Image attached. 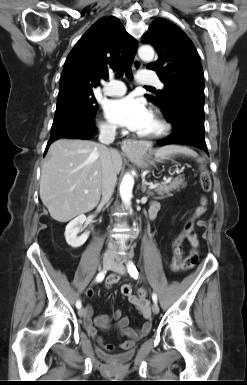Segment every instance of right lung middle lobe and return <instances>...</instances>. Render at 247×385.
Masks as SVG:
<instances>
[{
    "label": "right lung middle lobe",
    "mask_w": 247,
    "mask_h": 385,
    "mask_svg": "<svg viewBox=\"0 0 247 385\" xmlns=\"http://www.w3.org/2000/svg\"><path fill=\"white\" fill-rule=\"evenodd\" d=\"M98 108L92 90H68L59 92L53 125L66 120L82 117L91 119Z\"/></svg>",
    "instance_id": "1"
}]
</instances>
